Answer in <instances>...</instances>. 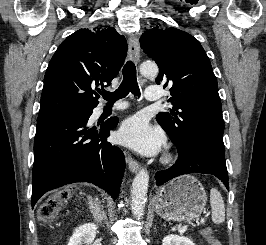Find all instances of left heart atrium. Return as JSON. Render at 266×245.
Instances as JSON below:
<instances>
[{"label":"left heart atrium","mask_w":266,"mask_h":245,"mask_svg":"<svg viewBox=\"0 0 266 245\" xmlns=\"http://www.w3.org/2000/svg\"><path fill=\"white\" fill-rule=\"evenodd\" d=\"M119 137L123 143L145 154L157 152L163 144L160 130L141 117H131L124 121Z\"/></svg>","instance_id":"39dd6f15"}]
</instances>
